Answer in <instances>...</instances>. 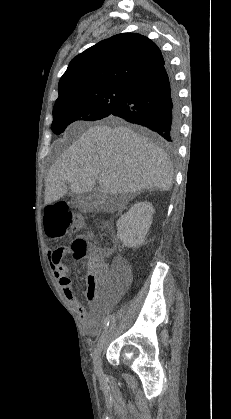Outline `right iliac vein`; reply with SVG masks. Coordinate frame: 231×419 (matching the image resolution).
<instances>
[{"instance_id": "right-iliac-vein-1", "label": "right iliac vein", "mask_w": 231, "mask_h": 419, "mask_svg": "<svg viewBox=\"0 0 231 419\" xmlns=\"http://www.w3.org/2000/svg\"><path fill=\"white\" fill-rule=\"evenodd\" d=\"M108 336H109V329H106L103 332L102 336L100 337V339L97 343V346L94 350V353H93L94 368L97 371L101 370V368H102L101 354H102L103 348L106 344V341L108 339Z\"/></svg>"}]
</instances>
